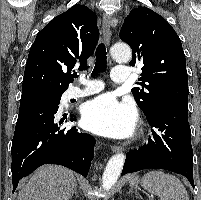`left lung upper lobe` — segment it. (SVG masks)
I'll use <instances>...</instances> for the list:
<instances>
[{
  "instance_id": "1",
  "label": "left lung upper lobe",
  "mask_w": 201,
  "mask_h": 200,
  "mask_svg": "<svg viewBox=\"0 0 201 200\" xmlns=\"http://www.w3.org/2000/svg\"><path fill=\"white\" fill-rule=\"evenodd\" d=\"M119 37L132 49L131 66L143 63L141 88L132 89L136 103L146 114L158 102L188 101L186 60L180 38L172 26L147 7L131 10Z\"/></svg>"
}]
</instances>
